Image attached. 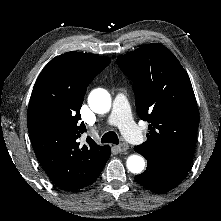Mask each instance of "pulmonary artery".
<instances>
[{
	"label": "pulmonary artery",
	"instance_id": "e3ab8cb5",
	"mask_svg": "<svg viewBox=\"0 0 221 221\" xmlns=\"http://www.w3.org/2000/svg\"><path fill=\"white\" fill-rule=\"evenodd\" d=\"M107 122L110 125L118 126L131 143L140 144L143 142L142 132L132 120L129 104L123 93H118L115 96Z\"/></svg>",
	"mask_w": 221,
	"mask_h": 221
}]
</instances>
